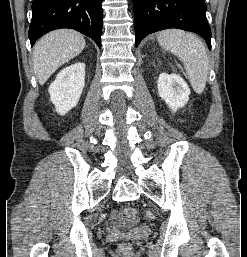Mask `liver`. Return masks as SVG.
I'll list each match as a JSON object with an SVG mask.
<instances>
[{
	"mask_svg": "<svg viewBox=\"0 0 247 257\" xmlns=\"http://www.w3.org/2000/svg\"><path fill=\"white\" fill-rule=\"evenodd\" d=\"M83 35L71 29L52 31L41 37L33 51L36 78L43 85L64 63L79 55L85 48Z\"/></svg>",
	"mask_w": 247,
	"mask_h": 257,
	"instance_id": "1",
	"label": "liver"
}]
</instances>
